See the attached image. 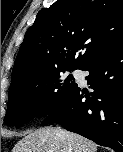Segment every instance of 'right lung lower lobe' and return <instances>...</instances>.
<instances>
[{
  "label": "right lung lower lobe",
  "instance_id": "obj_1",
  "mask_svg": "<svg viewBox=\"0 0 123 152\" xmlns=\"http://www.w3.org/2000/svg\"><path fill=\"white\" fill-rule=\"evenodd\" d=\"M93 92L77 87L42 126L58 123L101 146L123 152V40L100 52L86 67Z\"/></svg>",
  "mask_w": 123,
  "mask_h": 152
}]
</instances>
